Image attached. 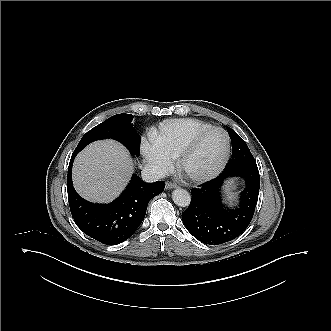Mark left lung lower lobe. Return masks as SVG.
<instances>
[{"label":"left lung lower lobe","mask_w":331,"mask_h":331,"mask_svg":"<svg viewBox=\"0 0 331 331\" xmlns=\"http://www.w3.org/2000/svg\"><path fill=\"white\" fill-rule=\"evenodd\" d=\"M231 176L241 177L246 182L236 210L226 209L222 205L219 192L223 181ZM259 187L258 168H225L220 176L191 191V203L182 213V221L188 231L205 244L218 245L231 241L241 235L250 224Z\"/></svg>","instance_id":"0a47b994"}]
</instances>
